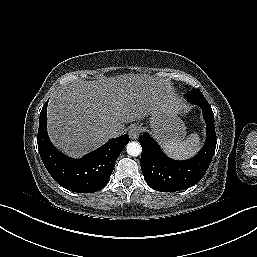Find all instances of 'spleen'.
<instances>
[{"label":"spleen","mask_w":257,"mask_h":257,"mask_svg":"<svg viewBox=\"0 0 257 257\" xmlns=\"http://www.w3.org/2000/svg\"><path fill=\"white\" fill-rule=\"evenodd\" d=\"M200 138L193 133L185 140L177 139L164 144L165 152L174 159H187L193 156L200 149Z\"/></svg>","instance_id":"spleen-1"}]
</instances>
